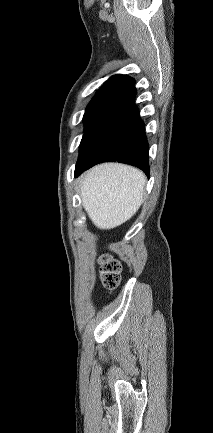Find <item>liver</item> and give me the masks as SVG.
Listing matches in <instances>:
<instances>
[{"label":"liver","mask_w":213,"mask_h":433,"mask_svg":"<svg viewBox=\"0 0 213 433\" xmlns=\"http://www.w3.org/2000/svg\"><path fill=\"white\" fill-rule=\"evenodd\" d=\"M146 176L120 163H103L81 176L82 204L99 229H112L129 220L143 202Z\"/></svg>","instance_id":"liver-1"}]
</instances>
